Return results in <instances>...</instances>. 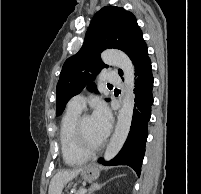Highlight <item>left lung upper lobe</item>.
Here are the masks:
<instances>
[{
	"label": "left lung upper lobe",
	"instance_id": "1",
	"mask_svg": "<svg viewBox=\"0 0 201 194\" xmlns=\"http://www.w3.org/2000/svg\"><path fill=\"white\" fill-rule=\"evenodd\" d=\"M143 35L136 17L121 7L105 6L98 11L86 32L85 41L78 53L68 58L57 84L56 115L59 116L68 100L80 93L103 68L100 52L107 48L124 51L132 60ZM122 75V70H118ZM90 90L97 93L90 84Z\"/></svg>",
	"mask_w": 201,
	"mask_h": 194
}]
</instances>
